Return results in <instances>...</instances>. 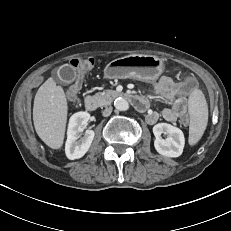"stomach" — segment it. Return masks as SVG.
<instances>
[{
	"instance_id": "0dacf381",
	"label": "stomach",
	"mask_w": 231,
	"mask_h": 231,
	"mask_svg": "<svg viewBox=\"0 0 231 231\" xmlns=\"http://www.w3.org/2000/svg\"><path fill=\"white\" fill-rule=\"evenodd\" d=\"M164 70L163 60L153 55L132 54L112 60L104 69L109 79H135L153 82Z\"/></svg>"
}]
</instances>
